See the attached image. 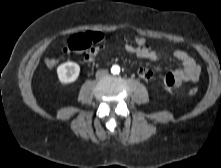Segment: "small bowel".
I'll list each match as a JSON object with an SVG mask.
<instances>
[{"mask_svg":"<svg viewBox=\"0 0 221 168\" xmlns=\"http://www.w3.org/2000/svg\"><path fill=\"white\" fill-rule=\"evenodd\" d=\"M102 49V46L92 48L86 53L85 61L88 63L93 62ZM124 50L138 58L147 59L152 62H156L163 56L162 52L151 48L147 44L144 47L125 44ZM173 57L181 63L182 68L169 73L163 81V87L169 93L175 94L179 92L183 84L198 81L201 75V67L192 56L183 50L174 51ZM137 73L140 78L147 81L151 80L154 75L152 70L145 67L139 68Z\"/></svg>","mask_w":221,"mask_h":168,"instance_id":"1","label":"small bowel"}]
</instances>
